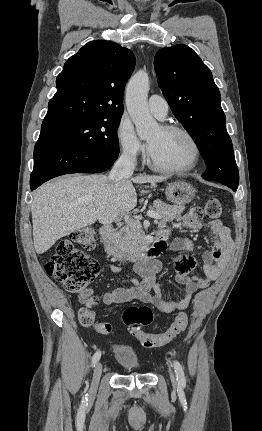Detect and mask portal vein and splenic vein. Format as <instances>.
<instances>
[{
    "label": "portal vein and splenic vein",
    "mask_w": 262,
    "mask_h": 431,
    "mask_svg": "<svg viewBox=\"0 0 262 431\" xmlns=\"http://www.w3.org/2000/svg\"><path fill=\"white\" fill-rule=\"evenodd\" d=\"M147 215H148L150 218H153V219H155V220L160 219V216H159L157 213H155L154 211H149V212L147 213Z\"/></svg>",
    "instance_id": "portal-vein-and-splenic-vein-1"
}]
</instances>
